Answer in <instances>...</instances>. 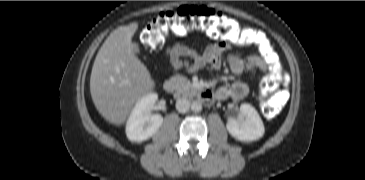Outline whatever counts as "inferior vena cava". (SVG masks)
Here are the masks:
<instances>
[{
    "label": "inferior vena cava",
    "mask_w": 365,
    "mask_h": 180,
    "mask_svg": "<svg viewBox=\"0 0 365 180\" xmlns=\"http://www.w3.org/2000/svg\"><path fill=\"white\" fill-rule=\"evenodd\" d=\"M190 108V101L185 98H179L176 101V109L180 112V113H185L189 110Z\"/></svg>",
    "instance_id": "inferior-vena-cava-1"
}]
</instances>
